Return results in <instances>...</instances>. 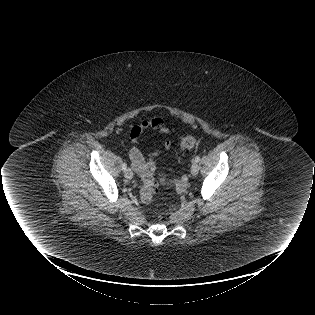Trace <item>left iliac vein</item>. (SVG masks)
Returning <instances> with one entry per match:
<instances>
[{
    "label": "left iliac vein",
    "instance_id": "1",
    "mask_svg": "<svg viewBox=\"0 0 315 315\" xmlns=\"http://www.w3.org/2000/svg\"><path fill=\"white\" fill-rule=\"evenodd\" d=\"M199 171V165L197 162H193L192 166H191V174L192 175H196Z\"/></svg>",
    "mask_w": 315,
    "mask_h": 315
}]
</instances>
